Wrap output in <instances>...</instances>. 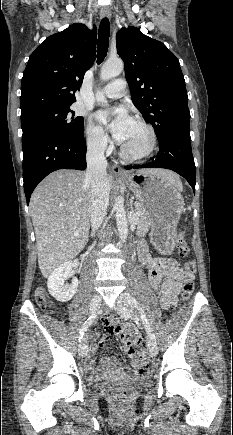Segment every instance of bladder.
<instances>
[{
    "label": "bladder",
    "instance_id": "1",
    "mask_svg": "<svg viewBox=\"0 0 233 435\" xmlns=\"http://www.w3.org/2000/svg\"><path fill=\"white\" fill-rule=\"evenodd\" d=\"M149 378H150V375H145V376L137 379L136 382L133 383V385H141V384H143Z\"/></svg>",
    "mask_w": 233,
    "mask_h": 435
}]
</instances>
